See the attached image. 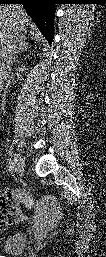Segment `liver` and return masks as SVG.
<instances>
[{"label":"liver","mask_w":106,"mask_h":257,"mask_svg":"<svg viewBox=\"0 0 106 257\" xmlns=\"http://www.w3.org/2000/svg\"><path fill=\"white\" fill-rule=\"evenodd\" d=\"M30 24V18L20 5L0 7V45H4L9 34L13 30L27 32L26 26Z\"/></svg>","instance_id":"6515ba94"}]
</instances>
